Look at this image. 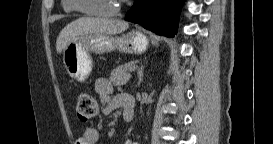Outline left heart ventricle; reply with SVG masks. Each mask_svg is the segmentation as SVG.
I'll use <instances>...</instances> for the list:
<instances>
[{
    "label": "left heart ventricle",
    "instance_id": "1",
    "mask_svg": "<svg viewBox=\"0 0 273 144\" xmlns=\"http://www.w3.org/2000/svg\"><path fill=\"white\" fill-rule=\"evenodd\" d=\"M116 4V0H83V6L91 10H111Z\"/></svg>",
    "mask_w": 273,
    "mask_h": 144
}]
</instances>
